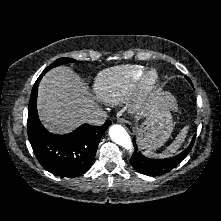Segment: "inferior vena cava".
<instances>
[{
  "label": "inferior vena cava",
  "mask_w": 221,
  "mask_h": 221,
  "mask_svg": "<svg viewBox=\"0 0 221 221\" xmlns=\"http://www.w3.org/2000/svg\"><path fill=\"white\" fill-rule=\"evenodd\" d=\"M107 115L101 109H95L85 114L82 118L84 123L102 125L106 121Z\"/></svg>",
  "instance_id": "obj_1"
}]
</instances>
